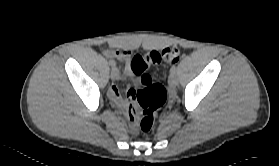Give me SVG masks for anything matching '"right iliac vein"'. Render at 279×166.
Segmentation results:
<instances>
[{
	"mask_svg": "<svg viewBox=\"0 0 279 166\" xmlns=\"http://www.w3.org/2000/svg\"><path fill=\"white\" fill-rule=\"evenodd\" d=\"M118 75H119V73H118L117 68L113 67L111 70V74H110L111 79L116 80L118 78Z\"/></svg>",
	"mask_w": 279,
	"mask_h": 166,
	"instance_id": "63e3f726",
	"label": "right iliac vein"
}]
</instances>
